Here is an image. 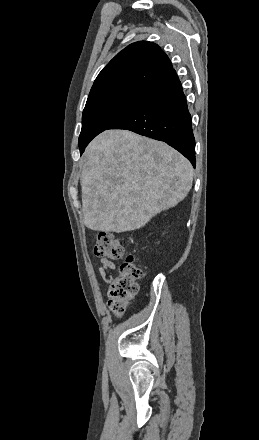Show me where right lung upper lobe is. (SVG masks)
<instances>
[{
  "mask_svg": "<svg viewBox=\"0 0 259 440\" xmlns=\"http://www.w3.org/2000/svg\"><path fill=\"white\" fill-rule=\"evenodd\" d=\"M171 70L173 67L168 56L157 44L147 41L132 43L99 73L88 100L119 90L148 91Z\"/></svg>",
  "mask_w": 259,
  "mask_h": 440,
  "instance_id": "1",
  "label": "right lung upper lobe"
}]
</instances>
